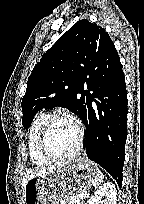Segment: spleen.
I'll return each mask as SVG.
<instances>
[{"mask_svg": "<svg viewBox=\"0 0 144 204\" xmlns=\"http://www.w3.org/2000/svg\"><path fill=\"white\" fill-rule=\"evenodd\" d=\"M103 179H104L103 173L97 168L96 177H95L93 184H92L93 187L98 188L99 185L103 182Z\"/></svg>", "mask_w": 144, "mask_h": 204, "instance_id": "3e777b00", "label": "spleen"}]
</instances>
